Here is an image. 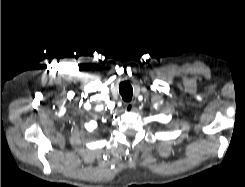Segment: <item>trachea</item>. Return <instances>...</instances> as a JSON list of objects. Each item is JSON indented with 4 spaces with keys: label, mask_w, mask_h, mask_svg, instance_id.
Returning a JSON list of instances; mask_svg holds the SVG:
<instances>
[{
    "label": "trachea",
    "mask_w": 245,
    "mask_h": 187,
    "mask_svg": "<svg viewBox=\"0 0 245 187\" xmlns=\"http://www.w3.org/2000/svg\"><path fill=\"white\" fill-rule=\"evenodd\" d=\"M119 93L122 96V99L126 102L131 101L133 95V88L131 84L127 81L120 83Z\"/></svg>",
    "instance_id": "1"
}]
</instances>
